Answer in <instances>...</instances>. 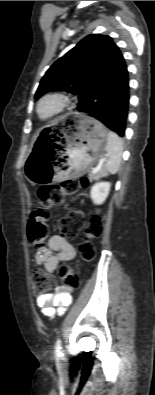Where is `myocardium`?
I'll return each instance as SVG.
<instances>
[{
	"mask_svg": "<svg viewBox=\"0 0 155 395\" xmlns=\"http://www.w3.org/2000/svg\"><path fill=\"white\" fill-rule=\"evenodd\" d=\"M69 104L68 98L60 92L48 93L42 96L35 107L39 121H50L62 114Z\"/></svg>",
	"mask_w": 155,
	"mask_h": 395,
	"instance_id": "myocardium-1",
	"label": "myocardium"
}]
</instances>
